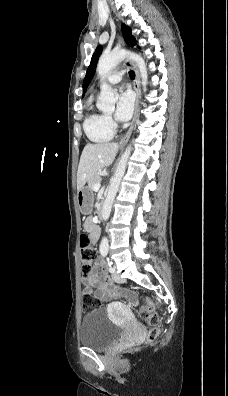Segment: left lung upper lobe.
Wrapping results in <instances>:
<instances>
[{"mask_svg": "<svg viewBox=\"0 0 228 396\" xmlns=\"http://www.w3.org/2000/svg\"><path fill=\"white\" fill-rule=\"evenodd\" d=\"M122 32L124 35V39L129 46L133 47L134 45H136V40L132 36L131 29L128 26L123 24ZM101 52H102V47L98 46L92 56L91 63L87 69V73H86V76L83 81V95L86 92L87 86L89 85L91 79L93 78V76L95 74L96 65H97L98 58H99Z\"/></svg>", "mask_w": 228, "mask_h": 396, "instance_id": "obj_1", "label": "left lung upper lobe"}]
</instances>
